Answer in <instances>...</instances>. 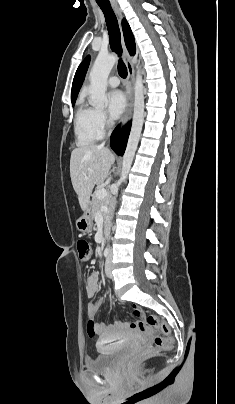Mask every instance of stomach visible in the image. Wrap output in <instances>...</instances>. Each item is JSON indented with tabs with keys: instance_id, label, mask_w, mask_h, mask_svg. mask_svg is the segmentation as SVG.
Wrapping results in <instances>:
<instances>
[{
	"instance_id": "1",
	"label": "stomach",
	"mask_w": 235,
	"mask_h": 404,
	"mask_svg": "<svg viewBox=\"0 0 235 404\" xmlns=\"http://www.w3.org/2000/svg\"><path fill=\"white\" fill-rule=\"evenodd\" d=\"M76 227L78 231H80L81 233L91 232L93 227V221L91 210L89 207L84 211V214L79 219H77Z\"/></svg>"
}]
</instances>
